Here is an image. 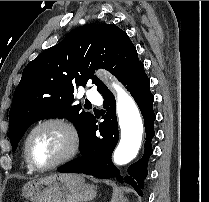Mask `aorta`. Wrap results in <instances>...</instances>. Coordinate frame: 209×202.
Wrapping results in <instances>:
<instances>
[{
    "mask_svg": "<svg viewBox=\"0 0 209 202\" xmlns=\"http://www.w3.org/2000/svg\"><path fill=\"white\" fill-rule=\"evenodd\" d=\"M116 91V110L121 129L120 141L113 153L117 165H125L138 154L142 143L143 123L139 109L133 98L116 82L112 84Z\"/></svg>",
    "mask_w": 209,
    "mask_h": 202,
    "instance_id": "762f6f07",
    "label": "aorta"
}]
</instances>
